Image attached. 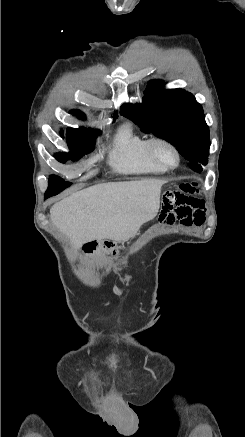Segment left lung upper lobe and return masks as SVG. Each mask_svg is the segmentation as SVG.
<instances>
[{
	"label": "left lung upper lobe",
	"mask_w": 245,
	"mask_h": 437,
	"mask_svg": "<svg viewBox=\"0 0 245 437\" xmlns=\"http://www.w3.org/2000/svg\"><path fill=\"white\" fill-rule=\"evenodd\" d=\"M163 81H150L141 103H127L121 114L145 133L170 142L189 161L196 172L208 163L209 128L202 106L183 89H168Z\"/></svg>",
	"instance_id": "1"
}]
</instances>
